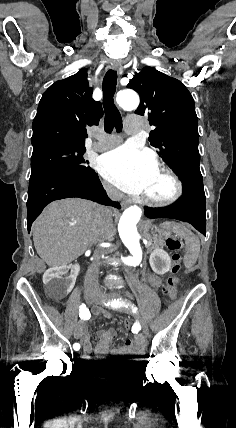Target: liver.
I'll return each instance as SVG.
<instances>
[{
	"instance_id": "1",
	"label": "liver",
	"mask_w": 236,
	"mask_h": 428,
	"mask_svg": "<svg viewBox=\"0 0 236 428\" xmlns=\"http://www.w3.org/2000/svg\"><path fill=\"white\" fill-rule=\"evenodd\" d=\"M103 206L80 198L57 200L44 208L32 228L35 250L47 266H66L93 244L112 242V218L102 214Z\"/></svg>"
}]
</instances>
